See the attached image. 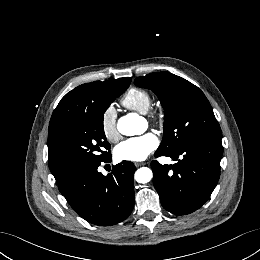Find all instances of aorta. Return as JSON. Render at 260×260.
Returning <instances> with one entry per match:
<instances>
[{"instance_id":"aorta-1","label":"aorta","mask_w":260,"mask_h":260,"mask_svg":"<svg viewBox=\"0 0 260 260\" xmlns=\"http://www.w3.org/2000/svg\"><path fill=\"white\" fill-rule=\"evenodd\" d=\"M118 131L126 136H133L143 131L141 127V119L135 115H126L121 117L117 123ZM135 180L138 183H148L152 177V170L148 167H141L135 172Z\"/></svg>"}]
</instances>
